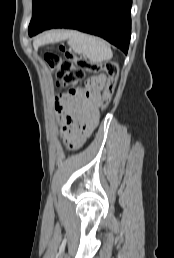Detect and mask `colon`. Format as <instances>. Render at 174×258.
I'll return each mask as SVG.
<instances>
[{
  "instance_id": "5ec220e1",
  "label": "colon",
  "mask_w": 174,
  "mask_h": 258,
  "mask_svg": "<svg viewBox=\"0 0 174 258\" xmlns=\"http://www.w3.org/2000/svg\"><path fill=\"white\" fill-rule=\"evenodd\" d=\"M60 51L64 56L53 51L47 52L44 56L46 63L56 76L57 84L68 88V94L75 96L78 92L76 86L84 79L86 73L103 71L107 74L108 81L102 93L101 107H108L118 83L119 64L114 60L94 63L76 56L64 46L60 47Z\"/></svg>"
}]
</instances>
